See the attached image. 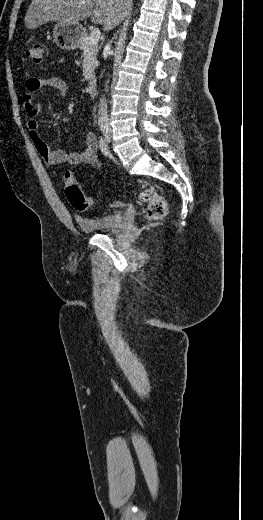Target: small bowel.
<instances>
[{
    "instance_id": "1",
    "label": "small bowel",
    "mask_w": 263,
    "mask_h": 520,
    "mask_svg": "<svg viewBox=\"0 0 263 520\" xmlns=\"http://www.w3.org/2000/svg\"><path fill=\"white\" fill-rule=\"evenodd\" d=\"M46 86L57 89L61 94H66L68 91L67 83L58 77L29 78L25 81L24 90L21 94V102L26 115V130L37 152L49 166L87 164L93 168H98V143L93 132L87 131L85 133V148L81 152H66L62 149L51 150L40 136L36 117L41 113L42 106L34 102V94L40 88Z\"/></svg>"
}]
</instances>
